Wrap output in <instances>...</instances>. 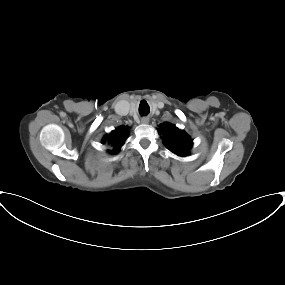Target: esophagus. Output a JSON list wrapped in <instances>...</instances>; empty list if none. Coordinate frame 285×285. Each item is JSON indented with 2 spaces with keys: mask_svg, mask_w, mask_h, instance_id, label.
<instances>
[{
  "mask_svg": "<svg viewBox=\"0 0 285 285\" xmlns=\"http://www.w3.org/2000/svg\"><path fill=\"white\" fill-rule=\"evenodd\" d=\"M149 122V118H147V117H142L141 118V123L142 124H147Z\"/></svg>",
  "mask_w": 285,
  "mask_h": 285,
  "instance_id": "1",
  "label": "esophagus"
}]
</instances>
